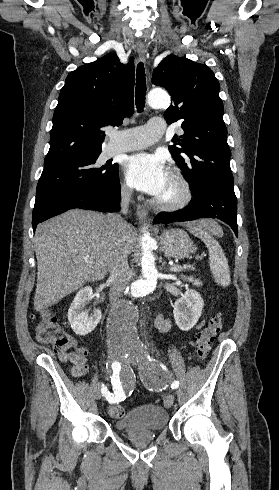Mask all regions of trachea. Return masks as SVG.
Instances as JSON below:
<instances>
[{"mask_svg": "<svg viewBox=\"0 0 279 490\" xmlns=\"http://www.w3.org/2000/svg\"><path fill=\"white\" fill-rule=\"evenodd\" d=\"M146 96V78L144 65L140 62L137 66L136 72V90H135V101L138 112H141L144 107Z\"/></svg>", "mask_w": 279, "mask_h": 490, "instance_id": "trachea-1", "label": "trachea"}]
</instances>
